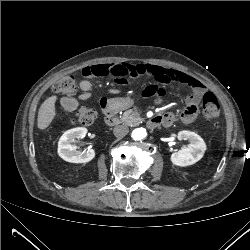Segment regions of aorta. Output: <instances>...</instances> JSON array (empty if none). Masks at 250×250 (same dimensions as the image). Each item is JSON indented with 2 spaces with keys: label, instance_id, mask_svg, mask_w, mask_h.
<instances>
[{
  "label": "aorta",
  "instance_id": "obj_1",
  "mask_svg": "<svg viewBox=\"0 0 250 250\" xmlns=\"http://www.w3.org/2000/svg\"><path fill=\"white\" fill-rule=\"evenodd\" d=\"M145 130L144 129H135L133 132H132V138L134 140H140L142 139L144 136H145Z\"/></svg>",
  "mask_w": 250,
  "mask_h": 250
}]
</instances>
